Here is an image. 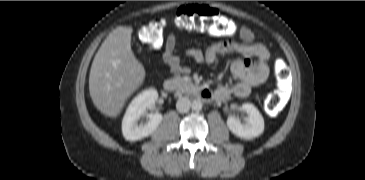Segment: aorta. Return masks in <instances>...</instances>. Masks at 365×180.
<instances>
[{"mask_svg":"<svg viewBox=\"0 0 365 180\" xmlns=\"http://www.w3.org/2000/svg\"><path fill=\"white\" fill-rule=\"evenodd\" d=\"M191 108L194 111H200L202 109V102L200 100H194L191 103Z\"/></svg>","mask_w":365,"mask_h":180,"instance_id":"aorta-1","label":"aorta"}]
</instances>
